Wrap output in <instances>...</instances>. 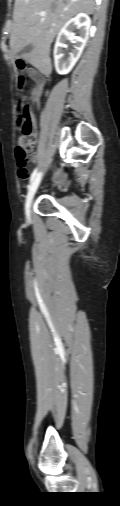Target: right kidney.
<instances>
[{
  "label": "right kidney",
  "instance_id": "ca27d5eb",
  "mask_svg": "<svg viewBox=\"0 0 120 506\" xmlns=\"http://www.w3.org/2000/svg\"><path fill=\"white\" fill-rule=\"evenodd\" d=\"M90 28L91 20L85 13L77 14L74 18L67 21L62 27L58 33L54 47V63L58 74L64 75L72 70L83 52L89 38ZM75 29L79 30L78 36H75V33L73 32ZM67 40H71L72 43H74V46L72 51L69 53V57L64 58L62 48L67 47Z\"/></svg>",
  "mask_w": 120,
  "mask_h": 506
}]
</instances>
